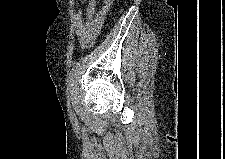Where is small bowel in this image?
<instances>
[{"label":"small bowel","instance_id":"1","mask_svg":"<svg viewBox=\"0 0 225 159\" xmlns=\"http://www.w3.org/2000/svg\"><path fill=\"white\" fill-rule=\"evenodd\" d=\"M111 4L112 0H104L99 10L96 11L95 2L92 0L86 8L85 18L82 17L81 12L77 14L76 34L82 48H87L94 42L103 26Z\"/></svg>","mask_w":225,"mask_h":159}]
</instances>
